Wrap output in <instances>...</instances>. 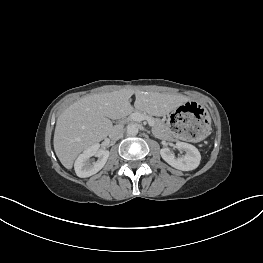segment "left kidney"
Returning a JSON list of instances; mask_svg holds the SVG:
<instances>
[{
  "label": "left kidney",
  "instance_id": "obj_1",
  "mask_svg": "<svg viewBox=\"0 0 263 263\" xmlns=\"http://www.w3.org/2000/svg\"><path fill=\"white\" fill-rule=\"evenodd\" d=\"M176 148L183 150L185 155L183 157H176L169 148H162L160 150L161 157L169 165L182 171L194 170L199 166L201 155L195 146L178 141Z\"/></svg>",
  "mask_w": 263,
  "mask_h": 263
}]
</instances>
